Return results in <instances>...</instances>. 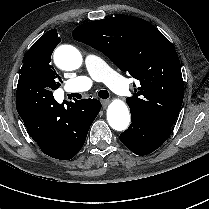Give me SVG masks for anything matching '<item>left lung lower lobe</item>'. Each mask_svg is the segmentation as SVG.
<instances>
[{"mask_svg": "<svg viewBox=\"0 0 209 209\" xmlns=\"http://www.w3.org/2000/svg\"><path fill=\"white\" fill-rule=\"evenodd\" d=\"M131 122L129 128L120 134V141L137 155L155 151L171 133L170 127L161 125L137 111H131Z\"/></svg>", "mask_w": 209, "mask_h": 209, "instance_id": "0a47b994", "label": "left lung lower lobe"}]
</instances>
